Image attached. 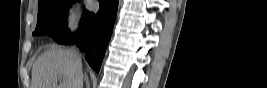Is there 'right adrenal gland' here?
<instances>
[{
  "label": "right adrenal gland",
  "instance_id": "2a0ac1e0",
  "mask_svg": "<svg viewBox=\"0 0 267 88\" xmlns=\"http://www.w3.org/2000/svg\"><path fill=\"white\" fill-rule=\"evenodd\" d=\"M86 88H90V83L88 80V76L85 74Z\"/></svg>",
  "mask_w": 267,
  "mask_h": 88
}]
</instances>
